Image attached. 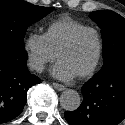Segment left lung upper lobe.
Returning <instances> with one entry per match:
<instances>
[{"mask_svg":"<svg viewBox=\"0 0 125 125\" xmlns=\"http://www.w3.org/2000/svg\"><path fill=\"white\" fill-rule=\"evenodd\" d=\"M90 18L101 29L103 67L115 60L125 59V19L111 10L93 11Z\"/></svg>","mask_w":125,"mask_h":125,"instance_id":"obj_1","label":"left lung upper lobe"}]
</instances>
